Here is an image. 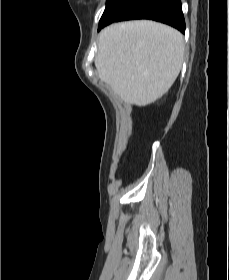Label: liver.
I'll use <instances>...</instances> for the list:
<instances>
[{
    "label": "liver",
    "instance_id": "6515ba94",
    "mask_svg": "<svg viewBox=\"0 0 229 280\" xmlns=\"http://www.w3.org/2000/svg\"><path fill=\"white\" fill-rule=\"evenodd\" d=\"M183 57L179 31L154 21H127L101 31L95 67L124 102L142 107L170 89Z\"/></svg>",
    "mask_w": 229,
    "mask_h": 280
}]
</instances>
